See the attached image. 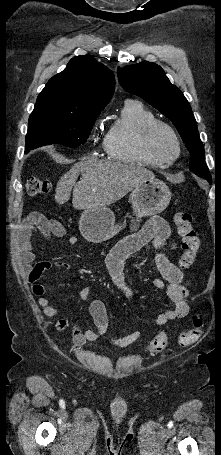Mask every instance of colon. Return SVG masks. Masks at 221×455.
<instances>
[{
  "instance_id": "obj_1",
  "label": "colon",
  "mask_w": 221,
  "mask_h": 455,
  "mask_svg": "<svg viewBox=\"0 0 221 455\" xmlns=\"http://www.w3.org/2000/svg\"><path fill=\"white\" fill-rule=\"evenodd\" d=\"M25 189L31 196H42L49 194L53 187L49 180L39 177H28L25 182ZM174 224L178 234L181 237L183 254L181 257V266L190 267L199 251L200 242L193 226V218L189 213L179 212L174 216ZM63 325V322H60ZM202 321L199 317L193 318V328L183 332L179 336V343L183 346H189L196 343L202 335ZM169 342L168 335L165 332H159L149 343L147 349L151 353L163 351Z\"/></svg>"
}]
</instances>
